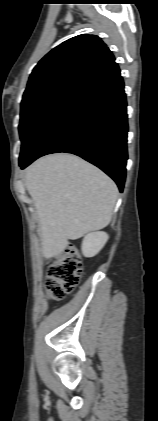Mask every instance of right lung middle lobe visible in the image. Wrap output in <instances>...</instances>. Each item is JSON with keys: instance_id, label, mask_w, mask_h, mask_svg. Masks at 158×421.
<instances>
[{"instance_id": "obj_1", "label": "right lung middle lobe", "mask_w": 158, "mask_h": 421, "mask_svg": "<svg viewBox=\"0 0 158 421\" xmlns=\"http://www.w3.org/2000/svg\"><path fill=\"white\" fill-rule=\"evenodd\" d=\"M81 85L60 82L23 96L19 124L22 143L19 163L25 161L43 128Z\"/></svg>"}]
</instances>
